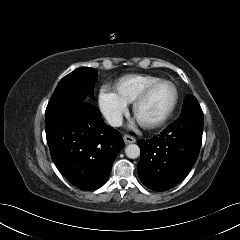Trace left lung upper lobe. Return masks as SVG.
<instances>
[{"mask_svg": "<svg viewBox=\"0 0 240 240\" xmlns=\"http://www.w3.org/2000/svg\"><path fill=\"white\" fill-rule=\"evenodd\" d=\"M195 106H199L197 99L194 96L189 95L184 100L182 110L189 108V107H195Z\"/></svg>", "mask_w": 240, "mask_h": 240, "instance_id": "5c2ea615", "label": "left lung upper lobe"}]
</instances>
